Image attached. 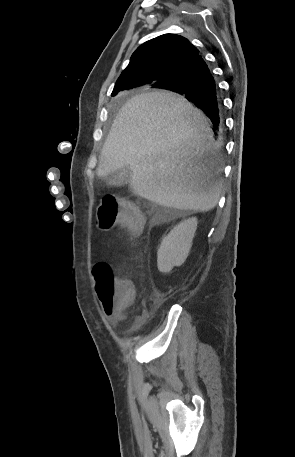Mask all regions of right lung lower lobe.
Listing matches in <instances>:
<instances>
[{"label":"right lung lower lobe","mask_w":295,"mask_h":457,"mask_svg":"<svg viewBox=\"0 0 295 457\" xmlns=\"http://www.w3.org/2000/svg\"><path fill=\"white\" fill-rule=\"evenodd\" d=\"M155 88L168 89L185 96L206 113L215 127L220 125L222 101L219 89L200 55L183 67L175 80L160 83Z\"/></svg>","instance_id":"98d812e1"}]
</instances>
